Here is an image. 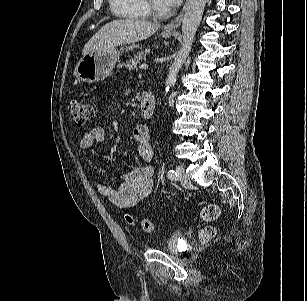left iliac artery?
Masks as SVG:
<instances>
[{"label":"left iliac artery","mask_w":307,"mask_h":301,"mask_svg":"<svg viewBox=\"0 0 307 301\" xmlns=\"http://www.w3.org/2000/svg\"><path fill=\"white\" fill-rule=\"evenodd\" d=\"M167 176L172 181L177 180V178H178L177 173L172 169L168 171Z\"/></svg>","instance_id":"44dca946"}]
</instances>
